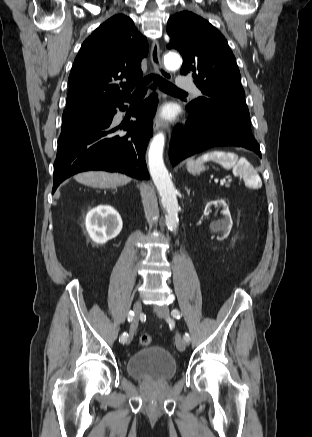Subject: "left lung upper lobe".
I'll return each instance as SVG.
<instances>
[{"instance_id": "1", "label": "left lung upper lobe", "mask_w": 312, "mask_h": 437, "mask_svg": "<svg viewBox=\"0 0 312 437\" xmlns=\"http://www.w3.org/2000/svg\"><path fill=\"white\" fill-rule=\"evenodd\" d=\"M167 33L171 38L168 48L177 49L183 57L180 73L192 75L203 94L187 108L225 118L243 134L254 138L240 72L224 36L208 21L189 11L173 15L168 20Z\"/></svg>"}]
</instances>
